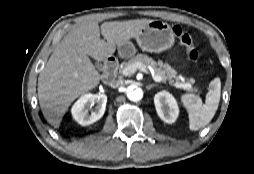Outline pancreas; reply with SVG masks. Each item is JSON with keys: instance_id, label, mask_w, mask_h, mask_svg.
Masks as SVG:
<instances>
[{"instance_id": "obj_1", "label": "pancreas", "mask_w": 254, "mask_h": 174, "mask_svg": "<svg viewBox=\"0 0 254 174\" xmlns=\"http://www.w3.org/2000/svg\"><path fill=\"white\" fill-rule=\"evenodd\" d=\"M142 63L145 66H150L154 70V74L157 76H161L164 81L168 80L169 82H173L174 80L178 81L177 72L168 64L163 63L162 61H154L151 57L147 56L146 54H137L133 58L129 59L126 62H123L119 68V73H122L123 69L129 65L135 63ZM190 82L193 83L194 80L190 79ZM190 92L197 91L195 88L186 89Z\"/></svg>"}]
</instances>
